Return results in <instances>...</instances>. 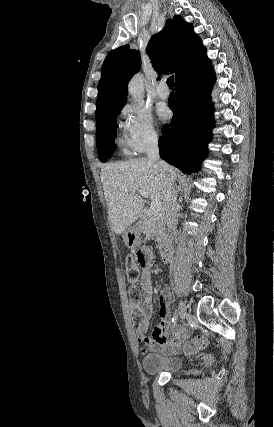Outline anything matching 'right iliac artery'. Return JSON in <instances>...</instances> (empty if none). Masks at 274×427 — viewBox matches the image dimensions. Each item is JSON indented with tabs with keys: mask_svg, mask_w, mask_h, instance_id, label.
<instances>
[{
	"mask_svg": "<svg viewBox=\"0 0 274 427\" xmlns=\"http://www.w3.org/2000/svg\"><path fill=\"white\" fill-rule=\"evenodd\" d=\"M177 320H178V316H177L176 314H174V316H173V318H172V323H173V325H175V324H176Z\"/></svg>",
	"mask_w": 274,
	"mask_h": 427,
	"instance_id": "1",
	"label": "right iliac artery"
}]
</instances>
